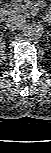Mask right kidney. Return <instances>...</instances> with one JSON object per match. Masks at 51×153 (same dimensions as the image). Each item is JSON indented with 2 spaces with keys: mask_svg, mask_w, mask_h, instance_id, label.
Wrapping results in <instances>:
<instances>
[{
  "mask_svg": "<svg viewBox=\"0 0 51 153\" xmlns=\"http://www.w3.org/2000/svg\"><path fill=\"white\" fill-rule=\"evenodd\" d=\"M3 52H4V45L1 44V54H3Z\"/></svg>",
  "mask_w": 51,
  "mask_h": 153,
  "instance_id": "right-kidney-1",
  "label": "right kidney"
}]
</instances>
